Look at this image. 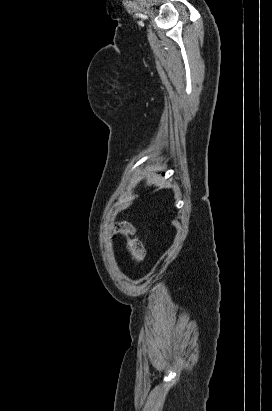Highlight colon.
Masks as SVG:
<instances>
[{
	"instance_id": "1",
	"label": "colon",
	"mask_w": 272,
	"mask_h": 411,
	"mask_svg": "<svg viewBox=\"0 0 272 411\" xmlns=\"http://www.w3.org/2000/svg\"><path fill=\"white\" fill-rule=\"evenodd\" d=\"M116 234L126 240L127 250L135 263H140L144 259V248L142 244L133 237L134 229L128 223H120L117 226Z\"/></svg>"
}]
</instances>
